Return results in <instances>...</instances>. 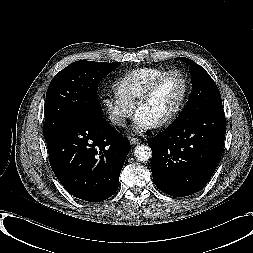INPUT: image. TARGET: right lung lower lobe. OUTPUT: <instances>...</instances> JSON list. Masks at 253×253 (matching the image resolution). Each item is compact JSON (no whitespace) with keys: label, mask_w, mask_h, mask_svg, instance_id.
Returning <instances> with one entry per match:
<instances>
[{"label":"right lung lower lobe","mask_w":253,"mask_h":253,"mask_svg":"<svg viewBox=\"0 0 253 253\" xmlns=\"http://www.w3.org/2000/svg\"><path fill=\"white\" fill-rule=\"evenodd\" d=\"M45 141L54 174L74 197L100 202L117 191L130 142L105 118L78 116Z\"/></svg>","instance_id":"right-lung-lower-lobe-1"}]
</instances>
